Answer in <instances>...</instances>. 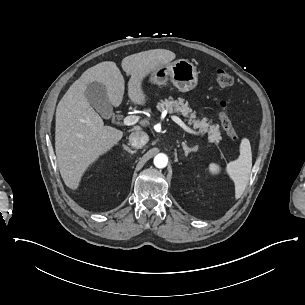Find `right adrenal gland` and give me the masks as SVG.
Listing matches in <instances>:
<instances>
[{
    "mask_svg": "<svg viewBox=\"0 0 305 305\" xmlns=\"http://www.w3.org/2000/svg\"><path fill=\"white\" fill-rule=\"evenodd\" d=\"M123 149L126 150L130 154V157H132L133 154H135L137 152L136 150L132 151L128 147H125V146H123Z\"/></svg>",
    "mask_w": 305,
    "mask_h": 305,
    "instance_id": "right-adrenal-gland-1",
    "label": "right adrenal gland"
}]
</instances>
